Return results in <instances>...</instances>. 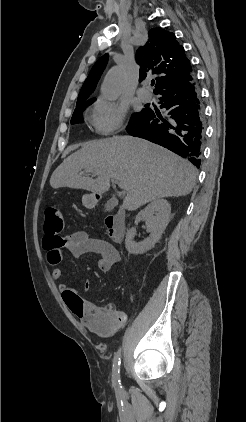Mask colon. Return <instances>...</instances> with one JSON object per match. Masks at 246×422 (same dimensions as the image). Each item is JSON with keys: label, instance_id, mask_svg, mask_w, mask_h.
Masks as SVG:
<instances>
[{"label": "colon", "instance_id": "obj_1", "mask_svg": "<svg viewBox=\"0 0 246 422\" xmlns=\"http://www.w3.org/2000/svg\"><path fill=\"white\" fill-rule=\"evenodd\" d=\"M44 226L47 234L58 235L63 232L65 220L60 205L51 204L47 207Z\"/></svg>", "mask_w": 246, "mask_h": 422}]
</instances>
